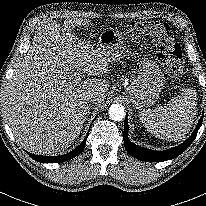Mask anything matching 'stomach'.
Masks as SVG:
<instances>
[{
  "mask_svg": "<svg viewBox=\"0 0 206 206\" xmlns=\"http://www.w3.org/2000/svg\"><path fill=\"white\" fill-rule=\"evenodd\" d=\"M97 46L104 50L111 60L119 58L126 47L119 29L112 27L103 30ZM140 58V69L126 88L125 95L133 107L142 113L159 98L165 77L159 65L150 56L144 55Z\"/></svg>",
  "mask_w": 206,
  "mask_h": 206,
  "instance_id": "obj_1",
  "label": "stomach"
}]
</instances>
